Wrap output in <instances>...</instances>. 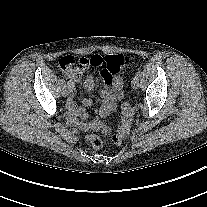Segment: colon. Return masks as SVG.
Returning a JSON list of instances; mask_svg holds the SVG:
<instances>
[{
    "label": "colon",
    "mask_w": 207,
    "mask_h": 207,
    "mask_svg": "<svg viewBox=\"0 0 207 207\" xmlns=\"http://www.w3.org/2000/svg\"><path fill=\"white\" fill-rule=\"evenodd\" d=\"M129 60L124 55H112L106 57H95L90 60H80L76 62L71 57H64L59 60L58 65L65 74L70 83L78 82L82 76V72L89 66L98 67L101 69V77L109 79L114 74L118 73L122 68L127 66ZM122 120L118 132L113 137L115 144H120L122 140L129 134L133 119V108L125 102L121 105ZM103 131H107L106 124H101ZM88 140L95 150L102 148V141L98 136L90 135Z\"/></svg>",
    "instance_id": "obj_1"
}]
</instances>
